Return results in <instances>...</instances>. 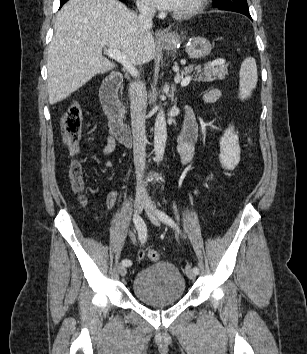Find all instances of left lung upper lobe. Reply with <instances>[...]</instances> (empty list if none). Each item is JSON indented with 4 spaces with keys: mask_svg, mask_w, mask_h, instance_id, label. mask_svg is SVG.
<instances>
[{
    "mask_svg": "<svg viewBox=\"0 0 307 354\" xmlns=\"http://www.w3.org/2000/svg\"><path fill=\"white\" fill-rule=\"evenodd\" d=\"M213 6L222 9L249 11L246 0H213Z\"/></svg>",
    "mask_w": 307,
    "mask_h": 354,
    "instance_id": "obj_1",
    "label": "left lung upper lobe"
}]
</instances>
